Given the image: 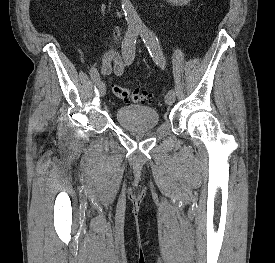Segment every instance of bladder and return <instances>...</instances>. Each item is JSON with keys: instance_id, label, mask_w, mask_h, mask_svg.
I'll list each match as a JSON object with an SVG mask.
<instances>
[{"instance_id": "bladder-1", "label": "bladder", "mask_w": 275, "mask_h": 263, "mask_svg": "<svg viewBox=\"0 0 275 263\" xmlns=\"http://www.w3.org/2000/svg\"><path fill=\"white\" fill-rule=\"evenodd\" d=\"M117 122L127 130L137 131L155 128L159 123L158 112L148 106L128 105L115 111Z\"/></svg>"}]
</instances>
